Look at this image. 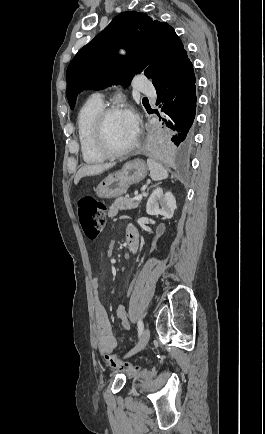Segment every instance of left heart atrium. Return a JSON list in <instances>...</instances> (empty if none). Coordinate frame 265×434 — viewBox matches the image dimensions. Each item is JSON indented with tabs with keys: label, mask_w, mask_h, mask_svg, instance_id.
Wrapping results in <instances>:
<instances>
[{
	"label": "left heart atrium",
	"mask_w": 265,
	"mask_h": 434,
	"mask_svg": "<svg viewBox=\"0 0 265 434\" xmlns=\"http://www.w3.org/2000/svg\"><path fill=\"white\" fill-rule=\"evenodd\" d=\"M126 124L128 125V127L133 131L134 134L137 135L138 133V125H137V121L134 115V112L132 109L130 108H125L122 112H121Z\"/></svg>",
	"instance_id": "39dd6f15"
}]
</instances>
